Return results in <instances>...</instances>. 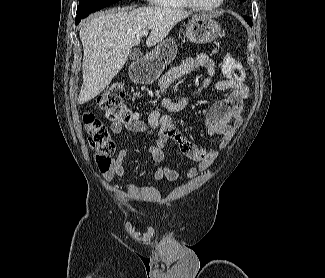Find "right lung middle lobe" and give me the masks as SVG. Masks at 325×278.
<instances>
[{"label": "right lung middle lobe", "instance_id": "right-lung-middle-lobe-1", "mask_svg": "<svg viewBox=\"0 0 325 278\" xmlns=\"http://www.w3.org/2000/svg\"><path fill=\"white\" fill-rule=\"evenodd\" d=\"M117 1L118 0H79L76 17L89 15Z\"/></svg>", "mask_w": 325, "mask_h": 278}]
</instances>
